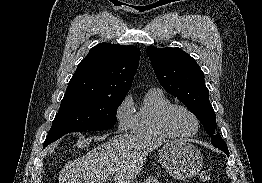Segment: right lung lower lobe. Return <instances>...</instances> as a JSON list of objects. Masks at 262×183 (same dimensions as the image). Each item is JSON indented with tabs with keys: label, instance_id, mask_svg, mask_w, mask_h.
Segmentation results:
<instances>
[{
	"label": "right lung lower lobe",
	"instance_id": "obj_1",
	"mask_svg": "<svg viewBox=\"0 0 262 183\" xmlns=\"http://www.w3.org/2000/svg\"><path fill=\"white\" fill-rule=\"evenodd\" d=\"M47 145H48V144H45V143H44V147L47 146Z\"/></svg>",
	"mask_w": 262,
	"mask_h": 183
}]
</instances>
